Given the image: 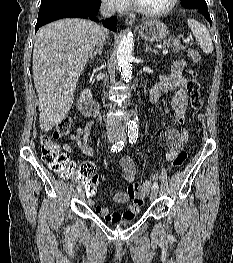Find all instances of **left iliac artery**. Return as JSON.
<instances>
[{
  "mask_svg": "<svg viewBox=\"0 0 233 263\" xmlns=\"http://www.w3.org/2000/svg\"><path fill=\"white\" fill-rule=\"evenodd\" d=\"M128 136H129V142L131 143V144H134V143H136V141H137V139H138V131H136V130H130V132H128ZM153 188L154 189H159V185H158V183L157 182H154L153 183Z\"/></svg>",
  "mask_w": 233,
  "mask_h": 263,
  "instance_id": "44dca946",
  "label": "left iliac artery"
}]
</instances>
